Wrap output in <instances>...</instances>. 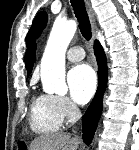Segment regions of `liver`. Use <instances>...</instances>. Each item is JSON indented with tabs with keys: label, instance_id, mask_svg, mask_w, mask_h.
I'll use <instances>...</instances> for the list:
<instances>
[{
	"label": "liver",
	"instance_id": "liver-1",
	"mask_svg": "<svg viewBox=\"0 0 139 150\" xmlns=\"http://www.w3.org/2000/svg\"><path fill=\"white\" fill-rule=\"evenodd\" d=\"M78 138H71L67 133L41 135L30 144L29 150H77Z\"/></svg>",
	"mask_w": 139,
	"mask_h": 150
}]
</instances>
